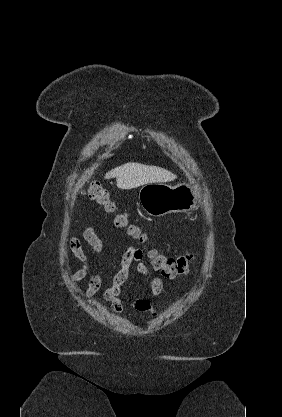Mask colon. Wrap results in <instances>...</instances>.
I'll list each match as a JSON object with an SVG mask.
<instances>
[{"label":"colon","mask_w":282,"mask_h":417,"mask_svg":"<svg viewBox=\"0 0 282 417\" xmlns=\"http://www.w3.org/2000/svg\"><path fill=\"white\" fill-rule=\"evenodd\" d=\"M87 196L95 201L98 205L112 216L115 225L118 228L127 229L129 235L134 239L145 242L146 234L136 224L129 220L126 211L120 209L115 201L111 198L108 190L99 182H91L86 190ZM195 258L194 253H186L180 256H165L160 251H153L150 257L151 265L161 272L168 279H174L180 275H184L193 264Z\"/></svg>","instance_id":"obj_1"}]
</instances>
